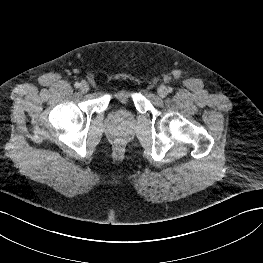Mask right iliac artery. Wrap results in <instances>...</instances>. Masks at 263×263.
I'll list each match as a JSON object with an SVG mask.
<instances>
[{"label":"right iliac artery","instance_id":"right-iliac-artery-1","mask_svg":"<svg viewBox=\"0 0 263 263\" xmlns=\"http://www.w3.org/2000/svg\"><path fill=\"white\" fill-rule=\"evenodd\" d=\"M74 86H75V88H79V87H80V83L76 82V83L74 84Z\"/></svg>","mask_w":263,"mask_h":263}]
</instances>
